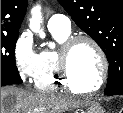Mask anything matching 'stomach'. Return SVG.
Segmentation results:
<instances>
[{
	"label": "stomach",
	"mask_w": 123,
	"mask_h": 113,
	"mask_svg": "<svg viewBox=\"0 0 123 113\" xmlns=\"http://www.w3.org/2000/svg\"><path fill=\"white\" fill-rule=\"evenodd\" d=\"M84 113H105V110L98 103H91Z\"/></svg>",
	"instance_id": "obj_1"
}]
</instances>
